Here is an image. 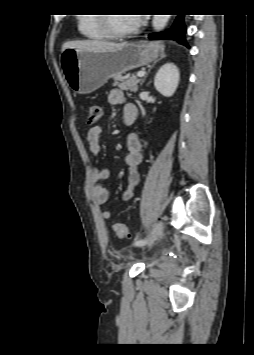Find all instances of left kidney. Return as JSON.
Here are the masks:
<instances>
[{
	"instance_id": "5707ae66",
	"label": "left kidney",
	"mask_w": 254,
	"mask_h": 355,
	"mask_svg": "<svg viewBox=\"0 0 254 355\" xmlns=\"http://www.w3.org/2000/svg\"><path fill=\"white\" fill-rule=\"evenodd\" d=\"M180 73L176 65L166 63L160 67L154 78L157 91L166 97L172 96L179 84Z\"/></svg>"
}]
</instances>
